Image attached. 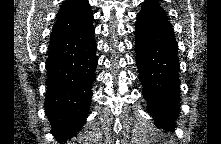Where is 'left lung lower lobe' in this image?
<instances>
[{
    "instance_id": "left-lung-lower-lobe-1",
    "label": "left lung lower lobe",
    "mask_w": 221,
    "mask_h": 144,
    "mask_svg": "<svg viewBox=\"0 0 221 144\" xmlns=\"http://www.w3.org/2000/svg\"><path fill=\"white\" fill-rule=\"evenodd\" d=\"M135 50L143 97L158 128L175 129L178 117V45L168 20L138 15Z\"/></svg>"
}]
</instances>
